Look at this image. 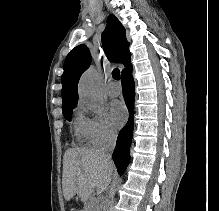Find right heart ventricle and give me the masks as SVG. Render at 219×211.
Returning <instances> with one entry per match:
<instances>
[{
	"instance_id": "e07e8e85",
	"label": "right heart ventricle",
	"mask_w": 219,
	"mask_h": 211,
	"mask_svg": "<svg viewBox=\"0 0 219 211\" xmlns=\"http://www.w3.org/2000/svg\"><path fill=\"white\" fill-rule=\"evenodd\" d=\"M75 129H76V133L79 136H83L84 135L83 126H82V118H78L75 121Z\"/></svg>"
}]
</instances>
